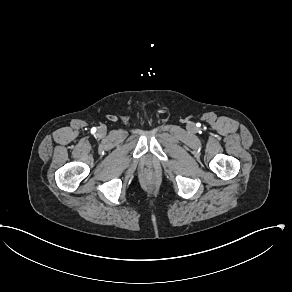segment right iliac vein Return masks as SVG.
Segmentation results:
<instances>
[{"mask_svg": "<svg viewBox=\"0 0 292 292\" xmlns=\"http://www.w3.org/2000/svg\"><path fill=\"white\" fill-rule=\"evenodd\" d=\"M99 135H104L106 133V130L104 128H100L98 130Z\"/></svg>", "mask_w": 292, "mask_h": 292, "instance_id": "63e3f726", "label": "right iliac vein"}]
</instances>
